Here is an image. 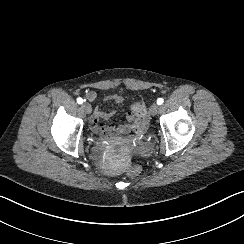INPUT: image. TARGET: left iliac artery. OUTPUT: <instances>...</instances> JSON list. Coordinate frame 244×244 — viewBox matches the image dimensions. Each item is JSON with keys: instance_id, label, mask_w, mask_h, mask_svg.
Listing matches in <instances>:
<instances>
[{"instance_id": "1", "label": "left iliac artery", "mask_w": 244, "mask_h": 244, "mask_svg": "<svg viewBox=\"0 0 244 244\" xmlns=\"http://www.w3.org/2000/svg\"><path fill=\"white\" fill-rule=\"evenodd\" d=\"M163 102H164V100H163L162 98H159V99L157 100V104H158V105H161Z\"/></svg>"}]
</instances>
